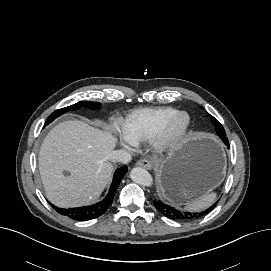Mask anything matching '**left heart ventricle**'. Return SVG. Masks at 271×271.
Wrapping results in <instances>:
<instances>
[{
	"instance_id": "1",
	"label": "left heart ventricle",
	"mask_w": 271,
	"mask_h": 271,
	"mask_svg": "<svg viewBox=\"0 0 271 271\" xmlns=\"http://www.w3.org/2000/svg\"><path fill=\"white\" fill-rule=\"evenodd\" d=\"M184 123H185V119L184 118L180 119V121L178 123V127H182L184 125Z\"/></svg>"
}]
</instances>
